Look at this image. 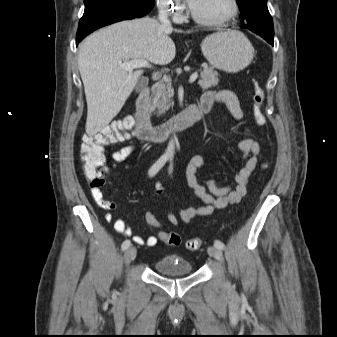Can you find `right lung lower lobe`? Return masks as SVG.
<instances>
[{
	"label": "right lung lower lobe",
	"instance_id": "right-lung-lower-lobe-1",
	"mask_svg": "<svg viewBox=\"0 0 337 337\" xmlns=\"http://www.w3.org/2000/svg\"><path fill=\"white\" fill-rule=\"evenodd\" d=\"M79 22L76 45L91 32L122 20L146 15L154 6V0H87Z\"/></svg>",
	"mask_w": 337,
	"mask_h": 337
}]
</instances>
